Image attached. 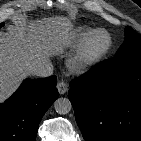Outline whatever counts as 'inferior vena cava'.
Here are the masks:
<instances>
[{"label":"inferior vena cava","mask_w":141,"mask_h":141,"mask_svg":"<svg viewBox=\"0 0 141 141\" xmlns=\"http://www.w3.org/2000/svg\"><path fill=\"white\" fill-rule=\"evenodd\" d=\"M53 73V65L48 61H43L35 66L33 74L38 77H49Z\"/></svg>","instance_id":"1"}]
</instances>
